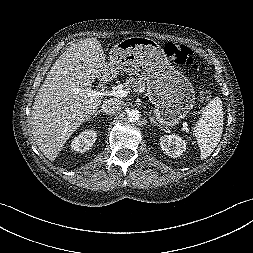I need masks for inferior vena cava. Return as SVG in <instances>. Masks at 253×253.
<instances>
[{"instance_id":"602c4592","label":"inferior vena cava","mask_w":253,"mask_h":253,"mask_svg":"<svg viewBox=\"0 0 253 253\" xmlns=\"http://www.w3.org/2000/svg\"><path fill=\"white\" fill-rule=\"evenodd\" d=\"M122 108V102L117 99H109L102 104V111L105 114H115Z\"/></svg>"}]
</instances>
